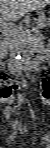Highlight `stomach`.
Segmentation results:
<instances>
[{
	"instance_id": "stomach-1",
	"label": "stomach",
	"mask_w": 50,
	"mask_h": 148,
	"mask_svg": "<svg viewBox=\"0 0 50 148\" xmlns=\"http://www.w3.org/2000/svg\"><path fill=\"white\" fill-rule=\"evenodd\" d=\"M38 28H44L50 25V5L49 3L43 5L39 9V16L35 20Z\"/></svg>"
}]
</instances>
